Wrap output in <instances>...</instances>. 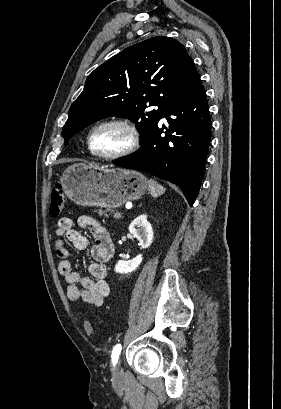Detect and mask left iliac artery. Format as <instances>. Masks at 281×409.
I'll return each mask as SVG.
<instances>
[{"instance_id":"obj_1","label":"left iliac artery","mask_w":281,"mask_h":409,"mask_svg":"<svg viewBox=\"0 0 281 409\" xmlns=\"http://www.w3.org/2000/svg\"><path fill=\"white\" fill-rule=\"evenodd\" d=\"M120 352H121V344L115 345V347L112 350V355H111L113 365H115L118 362Z\"/></svg>"}]
</instances>
